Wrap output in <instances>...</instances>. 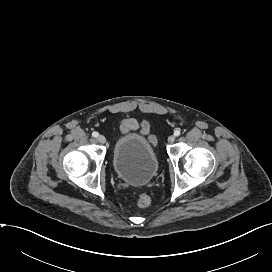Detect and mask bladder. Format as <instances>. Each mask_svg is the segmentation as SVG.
<instances>
[{
  "instance_id": "1",
  "label": "bladder",
  "mask_w": 272,
  "mask_h": 272,
  "mask_svg": "<svg viewBox=\"0 0 272 272\" xmlns=\"http://www.w3.org/2000/svg\"><path fill=\"white\" fill-rule=\"evenodd\" d=\"M112 163L118 177L135 186L150 182L159 168L153 146L135 133L123 135L116 141Z\"/></svg>"
}]
</instances>
